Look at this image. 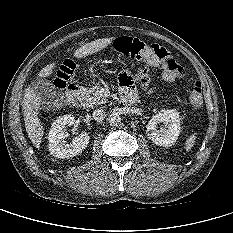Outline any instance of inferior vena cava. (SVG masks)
<instances>
[{
	"label": "inferior vena cava",
	"instance_id": "1",
	"mask_svg": "<svg viewBox=\"0 0 233 233\" xmlns=\"http://www.w3.org/2000/svg\"><path fill=\"white\" fill-rule=\"evenodd\" d=\"M92 116L94 120L102 122L106 117V112L104 111V109H96L93 111Z\"/></svg>",
	"mask_w": 233,
	"mask_h": 233
}]
</instances>
